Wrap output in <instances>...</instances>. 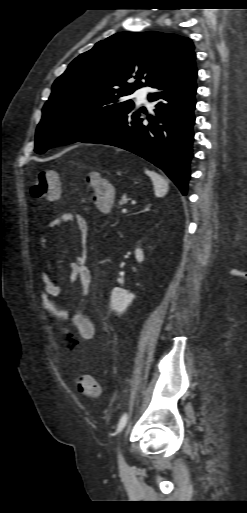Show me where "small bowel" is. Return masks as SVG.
Segmentation results:
<instances>
[{"label": "small bowel", "mask_w": 247, "mask_h": 513, "mask_svg": "<svg viewBox=\"0 0 247 513\" xmlns=\"http://www.w3.org/2000/svg\"><path fill=\"white\" fill-rule=\"evenodd\" d=\"M73 223L81 237L82 251L73 262L70 263L71 275L74 281L78 283L79 296L75 307L70 310L57 305L53 298L59 297L63 292V286L51 278L47 273H40L42 285L39 296L42 308L57 322L58 330L68 339L69 342L76 345V348L82 350L95 336V327L89 316L83 310L84 293L91 284V273L86 265V241L89 234V228L85 218L76 213H66L55 218L49 225L55 229L63 223ZM44 247L47 246V235L41 239ZM71 320L75 330L64 324V321Z\"/></svg>", "instance_id": "obj_1"}]
</instances>
